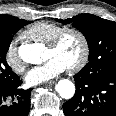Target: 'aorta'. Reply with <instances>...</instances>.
<instances>
[{
    "instance_id": "1",
    "label": "aorta",
    "mask_w": 116,
    "mask_h": 116,
    "mask_svg": "<svg viewBox=\"0 0 116 116\" xmlns=\"http://www.w3.org/2000/svg\"><path fill=\"white\" fill-rule=\"evenodd\" d=\"M43 50L38 44H25L19 48L20 58L30 64H40L43 61ZM56 90L62 98L70 99L75 94L74 84L67 79L60 80Z\"/></svg>"
}]
</instances>
